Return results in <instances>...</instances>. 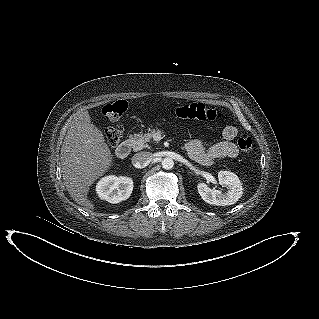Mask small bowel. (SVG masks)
Here are the masks:
<instances>
[{
  "label": "small bowel",
  "mask_w": 319,
  "mask_h": 319,
  "mask_svg": "<svg viewBox=\"0 0 319 319\" xmlns=\"http://www.w3.org/2000/svg\"><path fill=\"white\" fill-rule=\"evenodd\" d=\"M237 134L238 129L229 125L222 132V141L205 148L200 141L193 140L186 144V151L192 160L206 166L224 158H235L239 154V149L234 143Z\"/></svg>",
  "instance_id": "c3829d8e"
}]
</instances>
